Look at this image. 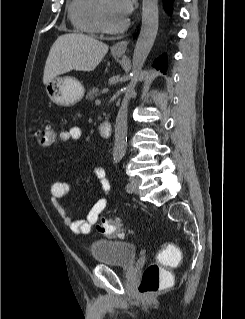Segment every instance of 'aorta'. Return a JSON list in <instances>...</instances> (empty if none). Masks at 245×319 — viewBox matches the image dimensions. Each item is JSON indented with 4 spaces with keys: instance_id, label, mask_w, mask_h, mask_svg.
I'll use <instances>...</instances> for the list:
<instances>
[{
    "instance_id": "aorta-1",
    "label": "aorta",
    "mask_w": 245,
    "mask_h": 319,
    "mask_svg": "<svg viewBox=\"0 0 245 319\" xmlns=\"http://www.w3.org/2000/svg\"><path fill=\"white\" fill-rule=\"evenodd\" d=\"M158 31V0H142V25L135 45L130 83L124 89V97L115 122L114 160H121L127 145L128 105L135 94V86L142 67L154 44Z\"/></svg>"
}]
</instances>
